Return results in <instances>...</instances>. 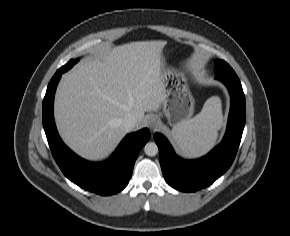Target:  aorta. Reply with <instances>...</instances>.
<instances>
[{
	"mask_svg": "<svg viewBox=\"0 0 290 236\" xmlns=\"http://www.w3.org/2000/svg\"><path fill=\"white\" fill-rule=\"evenodd\" d=\"M144 152L147 156H155L158 153V146L154 142H148L144 146Z\"/></svg>",
	"mask_w": 290,
	"mask_h": 236,
	"instance_id": "762f6f07",
	"label": "aorta"
}]
</instances>
